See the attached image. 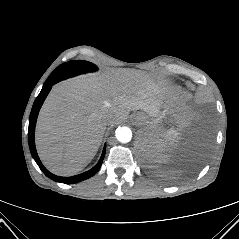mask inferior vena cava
Here are the masks:
<instances>
[{"mask_svg": "<svg viewBox=\"0 0 239 239\" xmlns=\"http://www.w3.org/2000/svg\"><path fill=\"white\" fill-rule=\"evenodd\" d=\"M112 121H113V117L112 116H106L105 117L106 124H110V123H112Z\"/></svg>", "mask_w": 239, "mask_h": 239, "instance_id": "obj_1", "label": "inferior vena cava"}]
</instances>
